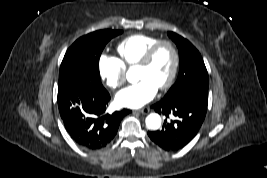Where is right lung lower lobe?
I'll list each match as a JSON object with an SVG mask.
<instances>
[{
    "label": "right lung lower lobe",
    "instance_id": "98d812e1",
    "mask_svg": "<svg viewBox=\"0 0 267 178\" xmlns=\"http://www.w3.org/2000/svg\"><path fill=\"white\" fill-rule=\"evenodd\" d=\"M109 101L106 89L93 82L78 81L58 87L59 112L76 144L88 150H99L112 141L121 120L130 111L105 113Z\"/></svg>",
    "mask_w": 267,
    "mask_h": 178
}]
</instances>
